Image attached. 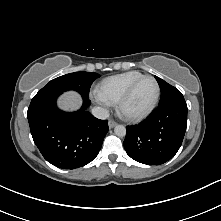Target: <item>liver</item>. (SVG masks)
I'll return each instance as SVG.
<instances>
[{
	"instance_id": "1",
	"label": "liver",
	"mask_w": 221,
	"mask_h": 221,
	"mask_svg": "<svg viewBox=\"0 0 221 221\" xmlns=\"http://www.w3.org/2000/svg\"><path fill=\"white\" fill-rule=\"evenodd\" d=\"M81 105V98L75 92H67L61 96L58 101V106L62 110L71 111L76 110Z\"/></svg>"
}]
</instances>
